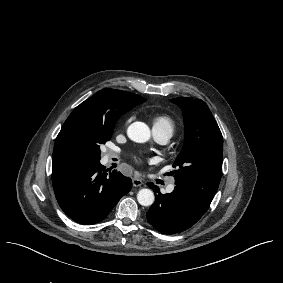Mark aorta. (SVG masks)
Returning <instances> with one entry per match:
<instances>
[{
	"mask_svg": "<svg viewBox=\"0 0 283 283\" xmlns=\"http://www.w3.org/2000/svg\"><path fill=\"white\" fill-rule=\"evenodd\" d=\"M128 137L137 143H144L150 139L149 127L143 122H134L127 129ZM138 203L142 206H150L154 203L155 196L152 190L144 188L137 194Z\"/></svg>",
	"mask_w": 283,
	"mask_h": 283,
	"instance_id": "aorta-1",
	"label": "aorta"
}]
</instances>
